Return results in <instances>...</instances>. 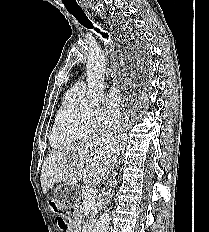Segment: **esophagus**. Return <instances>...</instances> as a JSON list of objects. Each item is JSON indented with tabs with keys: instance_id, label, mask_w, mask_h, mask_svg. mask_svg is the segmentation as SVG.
Instances as JSON below:
<instances>
[{
	"instance_id": "1",
	"label": "esophagus",
	"mask_w": 209,
	"mask_h": 232,
	"mask_svg": "<svg viewBox=\"0 0 209 232\" xmlns=\"http://www.w3.org/2000/svg\"><path fill=\"white\" fill-rule=\"evenodd\" d=\"M124 107H125V98H123V101L121 103V108L124 109Z\"/></svg>"
}]
</instances>
